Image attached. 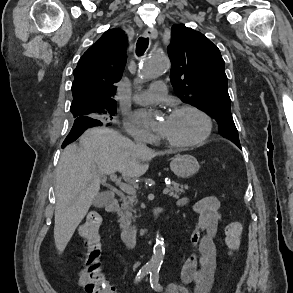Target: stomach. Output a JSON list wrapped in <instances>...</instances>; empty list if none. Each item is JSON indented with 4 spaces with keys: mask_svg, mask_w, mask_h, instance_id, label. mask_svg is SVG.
<instances>
[{
    "mask_svg": "<svg viewBox=\"0 0 293 293\" xmlns=\"http://www.w3.org/2000/svg\"><path fill=\"white\" fill-rule=\"evenodd\" d=\"M171 171L179 178H189L200 168L197 159L189 154L178 155L170 163Z\"/></svg>",
    "mask_w": 293,
    "mask_h": 293,
    "instance_id": "0dacf381",
    "label": "stomach"
}]
</instances>
